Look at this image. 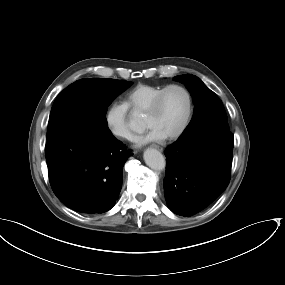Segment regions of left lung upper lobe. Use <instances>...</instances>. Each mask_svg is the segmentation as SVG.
Returning a JSON list of instances; mask_svg holds the SVG:
<instances>
[{"label": "left lung upper lobe", "mask_w": 285, "mask_h": 285, "mask_svg": "<svg viewBox=\"0 0 285 285\" xmlns=\"http://www.w3.org/2000/svg\"><path fill=\"white\" fill-rule=\"evenodd\" d=\"M190 91L195 109L193 117L179 138L187 137L202 130L230 131L224 106L218 96L197 76L190 74L176 76Z\"/></svg>", "instance_id": "1"}]
</instances>
